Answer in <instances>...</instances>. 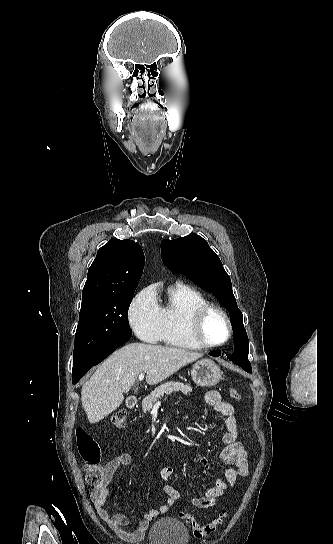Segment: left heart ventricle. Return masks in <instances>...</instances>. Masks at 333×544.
<instances>
[{
    "instance_id": "left-heart-ventricle-1",
    "label": "left heart ventricle",
    "mask_w": 333,
    "mask_h": 544,
    "mask_svg": "<svg viewBox=\"0 0 333 544\" xmlns=\"http://www.w3.org/2000/svg\"><path fill=\"white\" fill-rule=\"evenodd\" d=\"M228 328L224 318L217 312H211L204 323V336L212 343L222 342L227 338Z\"/></svg>"
}]
</instances>
